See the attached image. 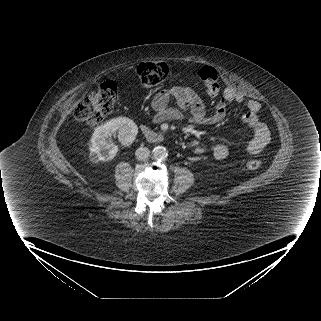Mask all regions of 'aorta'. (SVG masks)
<instances>
[{"label": "aorta", "instance_id": "1", "mask_svg": "<svg viewBox=\"0 0 321 321\" xmlns=\"http://www.w3.org/2000/svg\"><path fill=\"white\" fill-rule=\"evenodd\" d=\"M153 157L157 160H165L168 156L167 150L163 146H156L152 151Z\"/></svg>", "mask_w": 321, "mask_h": 321}]
</instances>
